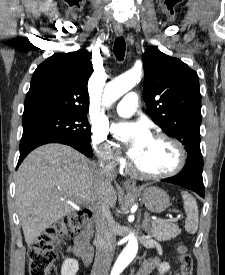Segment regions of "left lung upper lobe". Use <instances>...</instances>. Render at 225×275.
Returning a JSON list of instances; mask_svg holds the SVG:
<instances>
[{
	"instance_id": "obj_1",
	"label": "left lung upper lobe",
	"mask_w": 225,
	"mask_h": 275,
	"mask_svg": "<svg viewBox=\"0 0 225 275\" xmlns=\"http://www.w3.org/2000/svg\"><path fill=\"white\" fill-rule=\"evenodd\" d=\"M142 58L146 112L166 134L182 142L188 154L201 152V95L197 73L155 46L149 47Z\"/></svg>"
}]
</instances>
